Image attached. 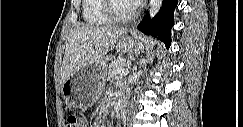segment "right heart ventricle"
I'll list each match as a JSON object with an SVG mask.
<instances>
[{
    "label": "right heart ventricle",
    "mask_w": 243,
    "mask_h": 127,
    "mask_svg": "<svg viewBox=\"0 0 243 127\" xmlns=\"http://www.w3.org/2000/svg\"><path fill=\"white\" fill-rule=\"evenodd\" d=\"M105 0H83L82 15L86 24L91 26L106 25L113 22L105 10Z\"/></svg>",
    "instance_id": "1"
}]
</instances>
